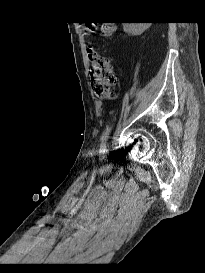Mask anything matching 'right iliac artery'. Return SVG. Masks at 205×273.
<instances>
[{"label": "right iliac artery", "mask_w": 205, "mask_h": 273, "mask_svg": "<svg viewBox=\"0 0 205 273\" xmlns=\"http://www.w3.org/2000/svg\"><path fill=\"white\" fill-rule=\"evenodd\" d=\"M110 131H111V127L107 128L106 131L104 132L103 136L101 137V152L106 151V141L109 137Z\"/></svg>", "instance_id": "1"}]
</instances>
